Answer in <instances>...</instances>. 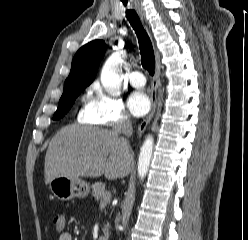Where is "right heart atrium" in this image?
Wrapping results in <instances>:
<instances>
[{
    "mask_svg": "<svg viewBox=\"0 0 248 240\" xmlns=\"http://www.w3.org/2000/svg\"><path fill=\"white\" fill-rule=\"evenodd\" d=\"M81 118L90 124L103 126L129 124V116L123 102L109 95L98 82L92 83L87 89Z\"/></svg>",
    "mask_w": 248,
    "mask_h": 240,
    "instance_id": "1",
    "label": "right heart atrium"
}]
</instances>
